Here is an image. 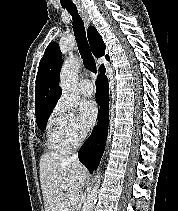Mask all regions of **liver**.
Wrapping results in <instances>:
<instances>
[{
	"instance_id": "6515ba94",
	"label": "liver",
	"mask_w": 178,
	"mask_h": 211,
	"mask_svg": "<svg viewBox=\"0 0 178 211\" xmlns=\"http://www.w3.org/2000/svg\"><path fill=\"white\" fill-rule=\"evenodd\" d=\"M39 166L45 211H69L68 196L81 192L87 178L86 168L78 160L55 152L44 153ZM60 185L66 186V193Z\"/></svg>"
}]
</instances>
